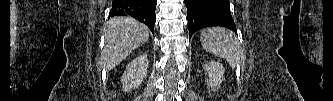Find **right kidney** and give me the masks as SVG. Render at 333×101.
I'll return each mask as SVG.
<instances>
[{
  "mask_svg": "<svg viewBox=\"0 0 333 101\" xmlns=\"http://www.w3.org/2000/svg\"><path fill=\"white\" fill-rule=\"evenodd\" d=\"M148 64V58L145 54L133 59L121 77L123 91H131L142 83L147 75Z\"/></svg>",
  "mask_w": 333,
  "mask_h": 101,
  "instance_id": "right-kidney-1",
  "label": "right kidney"
}]
</instances>
